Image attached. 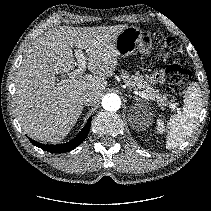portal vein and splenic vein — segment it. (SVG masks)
I'll list each match as a JSON object with an SVG mask.
<instances>
[{
	"label": "portal vein and splenic vein",
	"mask_w": 211,
	"mask_h": 211,
	"mask_svg": "<svg viewBox=\"0 0 211 211\" xmlns=\"http://www.w3.org/2000/svg\"><path fill=\"white\" fill-rule=\"evenodd\" d=\"M75 57L77 58L78 61V69H75L69 74V78L71 79H75L77 76L83 74L84 71L86 70V58L84 57L83 52L81 50L75 51ZM134 93L143 99L149 98L144 92L134 91ZM170 106L173 109H177L176 104H171Z\"/></svg>",
	"instance_id": "portal-vein-and-splenic-vein-1"
}]
</instances>
